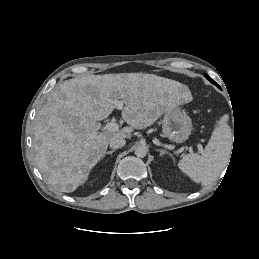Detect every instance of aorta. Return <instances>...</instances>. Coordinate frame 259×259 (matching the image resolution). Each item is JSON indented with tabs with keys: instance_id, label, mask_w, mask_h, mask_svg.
<instances>
[{
	"instance_id": "obj_1",
	"label": "aorta",
	"mask_w": 259,
	"mask_h": 259,
	"mask_svg": "<svg viewBox=\"0 0 259 259\" xmlns=\"http://www.w3.org/2000/svg\"><path fill=\"white\" fill-rule=\"evenodd\" d=\"M147 154V150L146 148L142 147V146H139L135 149V155L139 158H143L145 157Z\"/></svg>"
}]
</instances>
